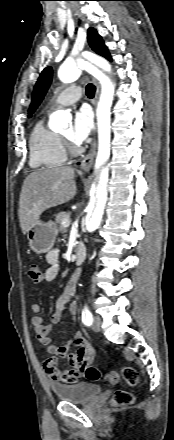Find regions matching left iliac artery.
Masks as SVG:
<instances>
[{
	"mask_svg": "<svg viewBox=\"0 0 174 440\" xmlns=\"http://www.w3.org/2000/svg\"><path fill=\"white\" fill-rule=\"evenodd\" d=\"M82 322L86 326H90L92 324V322H93L92 313L89 311L87 306L84 307L83 312H82Z\"/></svg>",
	"mask_w": 174,
	"mask_h": 440,
	"instance_id": "1",
	"label": "left iliac artery"
}]
</instances>
